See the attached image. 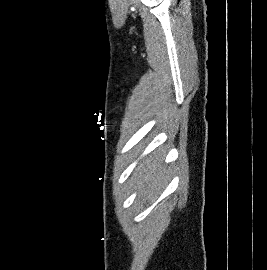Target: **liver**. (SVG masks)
Returning a JSON list of instances; mask_svg holds the SVG:
<instances>
[{
	"instance_id": "liver-1",
	"label": "liver",
	"mask_w": 267,
	"mask_h": 270,
	"mask_svg": "<svg viewBox=\"0 0 267 270\" xmlns=\"http://www.w3.org/2000/svg\"><path fill=\"white\" fill-rule=\"evenodd\" d=\"M164 157L162 150L153 152L144 157L133 171L139 198L155 200L167 185L170 169L164 165Z\"/></svg>"
}]
</instances>
